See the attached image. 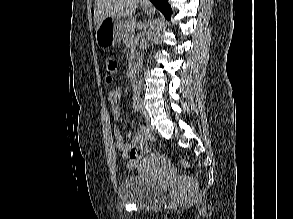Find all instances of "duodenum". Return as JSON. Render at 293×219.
I'll return each instance as SVG.
<instances>
[{
	"mask_svg": "<svg viewBox=\"0 0 293 219\" xmlns=\"http://www.w3.org/2000/svg\"><path fill=\"white\" fill-rule=\"evenodd\" d=\"M139 64L138 63H134L130 69V73H129V76H130V79L131 80H135L137 75H138V72H139Z\"/></svg>",
	"mask_w": 293,
	"mask_h": 219,
	"instance_id": "410a0bca",
	"label": "duodenum"
}]
</instances>
